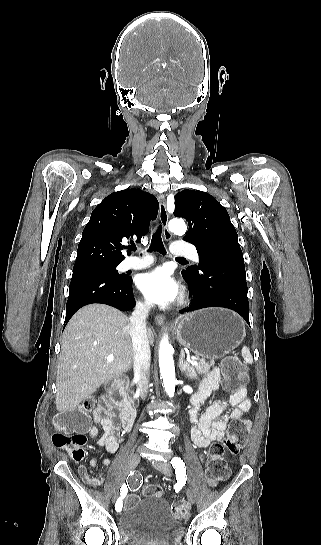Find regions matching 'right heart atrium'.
<instances>
[{"mask_svg": "<svg viewBox=\"0 0 321 545\" xmlns=\"http://www.w3.org/2000/svg\"><path fill=\"white\" fill-rule=\"evenodd\" d=\"M136 306L142 311H149L150 310V305L147 302L143 301V300H137L136 301Z\"/></svg>", "mask_w": 321, "mask_h": 545, "instance_id": "right-heart-atrium-1", "label": "right heart atrium"}]
</instances>
